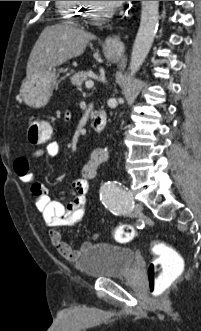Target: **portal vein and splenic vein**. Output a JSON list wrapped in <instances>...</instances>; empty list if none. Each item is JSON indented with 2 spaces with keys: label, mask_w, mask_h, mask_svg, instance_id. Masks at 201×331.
I'll return each instance as SVG.
<instances>
[{
  "label": "portal vein and splenic vein",
  "mask_w": 201,
  "mask_h": 331,
  "mask_svg": "<svg viewBox=\"0 0 201 331\" xmlns=\"http://www.w3.org/2000/svg\"><path fill=\"white\" fill-rule=\"evenodd\" d=\"M93 85H94V83H93V81H91V80H88V81H86V83H85V86H86V88H92L93 87Z\"/></svg>",
  "instance_id": "18ae733b"
}]
</instances>
